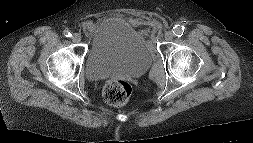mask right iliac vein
Instances as JSON below:
<instances>
[{
    "mask_svg": "<svg viewBox=\"0 0 253 143\" xmlns=\"http://www.w3.org/2000/svg\"><path fill=\"white\" fill-rule=\"evenodd\" d=\"M82 37H81V34L79 33H74L73 36H72V41L74 43H79L81 41Z\"/></svg>",
    "mask_w": 253,
    "mask_h": 143,
    "instance_id": "right-iliac-vein-1",
    "label": "right iliac vein"
}]
</instances>
